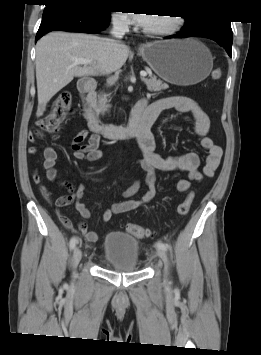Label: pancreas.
I'll return each instance as SVG.
<instances>
[{"label":"pancreas","instance_id":"pancreas-1","mask_svg":"<svg viewBox=\"0 0 261 355\" xmlns=\"http://www.w3.org/2000/svg\"><path fill=\"white\" fill-rule=\"evenodd\" d=\"M144 83L147 86V90L150 92L160 93L162 90L167 89L169 86L157 79L155 76L150 79H144ZM110 94L100 93L93 102L94 108L98 113H104L108 110L110 105L108 104V97Z\"/></svg>","mask_w":261,"mask_h":355}]
</instances>
